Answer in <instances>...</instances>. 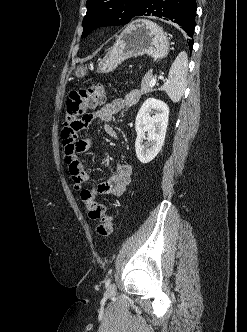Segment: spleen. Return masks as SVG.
Returning <instances> with one entry per match:
<instances>
[{
  "mask_svg": "<svg viewBox=\"0 0 247 332\" xmlns=\"http://www.w3.org/2000/svg\"><path fill=\"white\" fill-rule=\"evenodd\" d=\"M188 59L185 52H180L172 63L167 81L160 88L173 102H178L187 86Z\"/></svg>",
  "mask_w": 247,
  "mask_h": 332,
  "instance_id": "1",
  "label": "spleen"
}]
</instances>
